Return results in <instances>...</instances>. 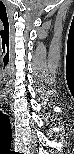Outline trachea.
Listing matches in <instances>:
<instances>
[{
    "label": "trachea",
    "mask_w": 74,
    "mask_h": 154,
    "mask_svg": "<svg viewBox=\"0 0 74 154\" xmlns=\"http://www.w3.org/2000/svg\"><path fill=\"white\" fill-rule=\"evenodd\" d=\"M12 136L11 123L8 115L0 113V140L9 141Z\"/></svg>",
    "instance_id": "1"
}]
</instances>
